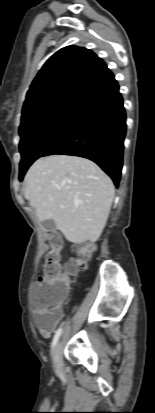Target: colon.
I'll return each instance as SVG.
<instances>
[{
  "label": "colon",
  "mask_w": 155,
  "mask_h": 413,
  "mask_svg": "<svg viewBox=\"0 0 155 413\" xmlns=\"http://www.w3.org/2000/svg\"><path fill=\"white\" fill-rule=\"evenodd\" d=\"M51 250L46 254L42 268L44 290L35 299L33 309L40 313L54 311L70 289V277L76 275L80 268L87 265L94 251L92 243H84L77 247V258L69 260L64 273L60 265L61 238L52 234L48 240Z\"/></svg>",
  "instance_id": "1"
}]
</instances>
